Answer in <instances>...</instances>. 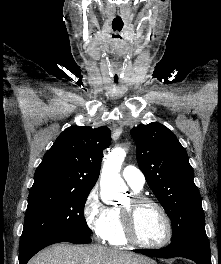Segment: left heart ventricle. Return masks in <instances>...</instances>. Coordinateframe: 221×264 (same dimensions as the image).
<instances>
[{
    "label": "left heart ventricle",
    "instance_id": "left-heart-ventricle-1",
    "mask_svg": "<svg viewBox=\"0 0 221 264\" xmlns=\"http://www.w3.org/2000/svg\"><path fill=\"white\" fill-rule=\"evenodd\" d=\"M128 200L122 207H129ZM136 233L140 240L149 244L160 243L166 237V223L160 211L151 204L140 206L135 213Z\"/></svg>",
    "mask_w": 221,
    "mask_h": 264
}]
</instances>
